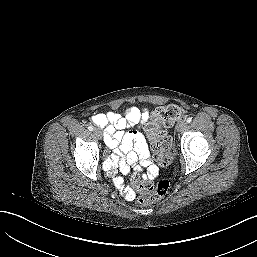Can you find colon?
Here are the masks:
<instances>
[{
	"label": "colon",
	"mask_w": 257,
	"mask_h": 257,
	"mask_svg": "<svg viewBox=\"0 0 257 257\" xmlns=\"http://www.w3.org/2000/svg\"><path fill=\"white\" fill-rule=\"evenodd\" d=\"M182 108L175 104L158 107L152 114L146 129L151 140V147L160 165H169L172 161L171 138L164 127H171L182 117ZM135 189L141 193L137 202L142 205L160 200L168 193L170 184L166 179H160L155 185L143 181L139 174L132 178Z\"/></svg>",
	"instance_id": "5ec220e1"
}]
</instances>
